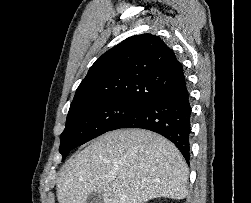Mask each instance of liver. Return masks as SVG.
I'll return each mask as SVG.
<instances>
[{"instance_id":"1","label":"liver","mask_w":251,"mask_h":203,"mask_svg":"<svg viewBox=\"0 0 251 203\" xmlns=\"http://www.w3.org/2000/svg\"><path fill=\"white\" fill-rule=\"evenodd\" d=\"M189 169L179 150L148 130L107 132L71 157L57 182L59 203H86L99 192L104 203L184 199Z\"/></svg>"}]
</instances>
